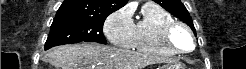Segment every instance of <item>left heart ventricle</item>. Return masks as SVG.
I'll use <instances>...</instances> for the list:
<instances>
[{"mask_svg":"<svg viewBox=\"0 0 246 69\" xmlns=\"http://www.w3.org/2000/svg\"><path fill=\"white\" fill-rule=\"evenodd\" d=\"M172 40L174 43L181 48H188L190 43V38L188 34L182 29H176L172 35Z\"/></svg>","mask_w":246,"mask_h":69,"instance_id":"obj_1","label":"left heart ventricle"}]
</instances>
